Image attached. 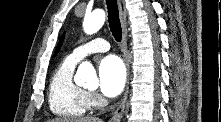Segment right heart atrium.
Wrapping results in <instances>:
<instances>
[{"instance_id": "obj_1", "label": "right heart atrium", "mask_w": 221, "mask_h": 122, "mask_svg": "<svg viewBox=\"0 0 221 122\" xmlns=\"http://www.w3.org/2000/svg\"><path fill=\"white\" fill-rule=\"evenodd\" d=\"M88 97L92 105H99L101 103V99L96 94L88 93Z\"/></svg>"}]
</instances>
